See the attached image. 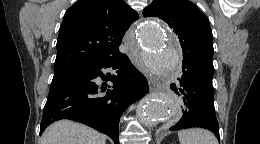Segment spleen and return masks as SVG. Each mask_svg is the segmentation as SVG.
Here are the masks:
<instances>
[{"mask_svg": "<svg viewBox=\"0 0 260 144\" xmlns=\"http://www.w3.org/2000/svg\"><path fill=\"white\" fill-rule=\"evenodd\" d=\"M180 144H218L213 133L205 129H187L178 132Z\"/></svg>", "mask_w": 260, "mask_h": 144, "instance_id": "obj_1", "label": "spleen"}]
</instances>
